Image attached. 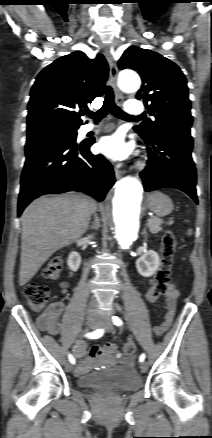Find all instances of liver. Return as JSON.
<instances>
[{
  "label": "liver",
  "instance_id": "1",
  "mask_svg": "<svg viewBox=\"0 0 212 438\" xmlns=\"http://www.w3.org/2000/svg\"><path fill=\"white\" fill-rule=\"evenodd\" d=\"M97 205L90 196L66 193L41 197L23 212L19 283H28L57 250L85 233Z\"/></svg>",
  "mask_w": 212,
  "mask_h": 438
}]
</instances>
